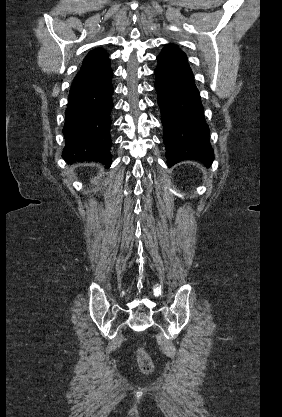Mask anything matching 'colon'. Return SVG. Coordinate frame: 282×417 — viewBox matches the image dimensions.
Wrapping results in <instances>:
<instances>
[{
  "instance_id": "colon-1",
  "label": "colon",
  "mask_w": 282,
  "mask_h": 417,
  "mask_svg": "<svg viewBox=\"0 0 282 417\" xmlns=\"http://www.w3.org/2000/svg\"><path fill=\"white\" fill-rule=\"evenodd\" d=\"M135 356H136L140 369H142L144 372H147V373L153 370L154 368L153 360L142 346L137 347Z\"/></svg>"
}]
</instances>
